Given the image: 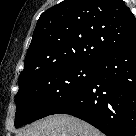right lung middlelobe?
I'll return each mask as SVG.
<instances>
[{
    "label": "right lung middle lobe",
    "mask_w": 136,
    "mask_h": 136,
    "mask_svg": "<svg viewBox=\"0 0 136 136\" xmlns=\"http://www.w3.org/2000/svg\"><path fill=\"white\" fill-rule=\"evenodd\" d=\"M95 69L96 64L91 63L57 65L20 82L15 127L51 115L90 84Z\"/></svg>",
    "instance_id": "right-lung-middle-lobe-1"
}]
</instances>
